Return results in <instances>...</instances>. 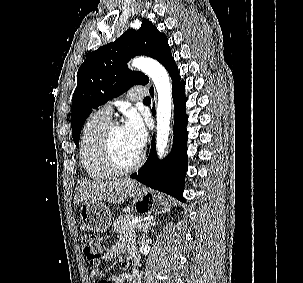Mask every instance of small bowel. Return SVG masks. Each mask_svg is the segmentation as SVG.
Returning a JSON list of instances; mask_svg holds the SVG:
<instances>
[{"mask_svg":"<svg viewBox=\"0 0 303 283\" xmlns=\"http://www.w3.org/2000/svg\"><path fill=\"white\" fill-rule=\"evenodd\" d=\"M127 254L128 257L132 260L137 259V253L135 250V244L134 240L131 236H124L119 241H117L115 244H113L109 250L104 254L105 260H113L117 258L120 254ZM134 274H136L137 279L140 283V274L139 272H133V273H126L119 275L114 278V283H131ZM99 275V270L94 269L91 271L90 276L91 278H97Z\"/></svg>","mask_w":303,"mask_h":283,"instance_id":"1","label":"small bowel"}]
</instances>
